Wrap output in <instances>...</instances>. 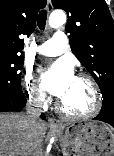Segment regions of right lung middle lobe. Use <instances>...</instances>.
Masks as SVG:
<instances>
[{
	"instance_id": "1",
	"label": "right lung middle lobe",
	"mask_w": 114,
	"mask_h": 156,
	"mask_svg": "<svg viewBox=\"0 0 114 156\" xmlns=\"http://www.w3.org/2000/svg\"><path fill=\"white\" fill-rule=\"evenodd\" d=\"M24 60L18 55H0V96L19 98L24 96L21 89V69Z\"/></svg>"
}]
</instances>
